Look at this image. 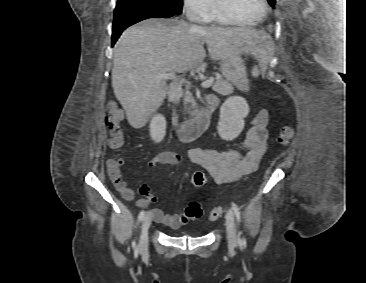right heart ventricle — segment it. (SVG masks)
<instances>
[{
  "label": "right heart ventricle",
  "mask_w": 366,
  "mask_h": 283,
  "mask_svg": "<svg viewBox=\"0 0 366 283\" xmlns=\"http://www.w3.org/2000/svg\"><path fill=\"white\" fill-rule=\"evenodd\" d=\"M205 22L214 23L221 26H229L231 23L225 20L216 10L214 0H211V7L208 14L204 18Z\"/></svg>",
  "instance_id": "obj_1"
}]
</instances>
